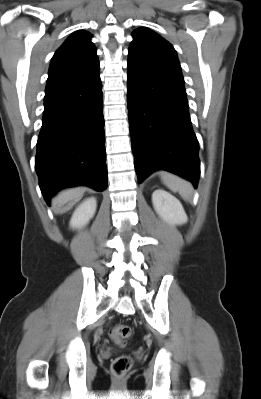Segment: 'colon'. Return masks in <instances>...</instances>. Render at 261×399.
Returning a JSON list of instances; mask_svg holds the SVG:
<instances>
[{
	"label": "colon",
	"mask_w": 261,
	"mask_h": 399,
	"mask_svg": "<svg viewBox=\"0 0 261 399\" xmlns=\"http://www.w3.org/2000/svg\"><path fill=\"white\" fill-rule=\"evenodd\" d=\"M131 334L132 329L127 325H115L110 330L111 339L118 345H124L125 341L131 336ZM131 367L132 359L126 355L115 358L111 365L112 372L118 376L126 374Z\"/></svg>",
	"instance_id": "obj_1"
}]
</instances>
